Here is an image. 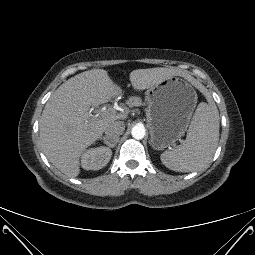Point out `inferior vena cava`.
Returning <instances> with one entry per match:
<instances>
[{
	"instance_id": "inferior-vena-cava-1",
	"label": "inferior vena cava",
	"mask_w": 255,
	"mask_h": 255,
	"mask_svg": "<svg viewBox=\"0 0 255 255\" xmlns=\"http://www.w3.org/2000/svg\"><path fill=\"white\" fill-rule=\"evenodd\" d=\"M125 125L121 121H115L107 125L105 128V138L107 145H114L118 142L119 136L123 134Z\"/></svg>"
}]
</instances>
